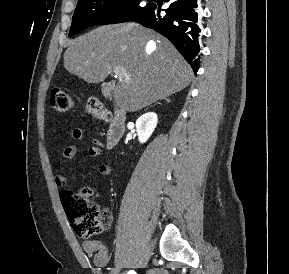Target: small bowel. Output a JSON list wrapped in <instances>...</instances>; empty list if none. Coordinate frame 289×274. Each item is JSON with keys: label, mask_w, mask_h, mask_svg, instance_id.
<instances>
[{"label": "small bowel", "mask_w": 289, "mask_h": 274, "mask_svg": "<svg viewBox=\"0 0 289 274\" xmlns=\"http://www.w3.org/2000/svg\"><path fill=\"white\" fill-rule=\"evenodd\" d=\"M70 136L76 140L83 141L86 139L84 132L75 128L70 132ZM100 142L98 140H93V145L88 147L87 153L91 157H97L101 154ZM78 148L76 145L72 144L65 147L61 153L62 160L73 159L77 154ZM111 168L109 164H100L98 166V172L100 174L106 175L110 172ZM67 184V177L63 174H58L55 176V185L59 189H63ZM83 251L89 255L93 256L94 264L97 267H104L109 260V252L106 245L99 240H85L82 243Z\"/></svg>", "instance_id": "small-bowel-1"}]
</instances>
